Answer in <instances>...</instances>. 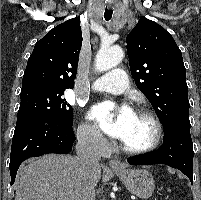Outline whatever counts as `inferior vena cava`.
<instances>
[{"label":"inferior vena cava","mask_w":201,"mask_h":200,"mask_svg":"<svg viewBox=\"0 0 201 200\" xmlns=\"http://www.w3.org/2000/svg\"><path fill=\"white\" fill-rule=\"evenodd\" d=\"M101 138L96 134L78 136L76 169L78 172V200L95 199L94 172L101 160Z\"/></svg>","instance_id":"obj_1"}]
</instances>
